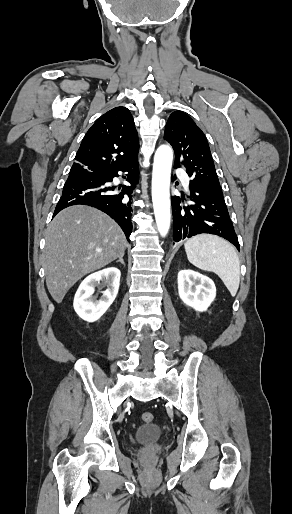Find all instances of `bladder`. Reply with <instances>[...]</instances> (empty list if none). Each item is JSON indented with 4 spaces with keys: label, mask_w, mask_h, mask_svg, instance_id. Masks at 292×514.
Listing matches in <instances>:
<instances>
[{
    "label": "bladder",
    "mask_w": 292,
    "mask_h": 514,
    "mask_svg": "<svg viewBox=\"0 0 292 514\" xmlns=\"http://www.w3.org/2000/svg\"><path fill=\"white\" fill-rule=\"evenodd\" d=\"M162 435L159 425L154 423H147L140 425L130 438L131 444H146L153 443Z\"/></svg>",
    "instance_id": "bladder-1"
}]
</instances>
